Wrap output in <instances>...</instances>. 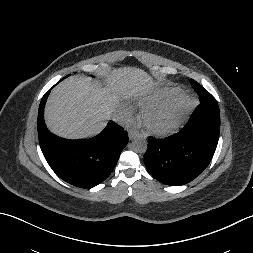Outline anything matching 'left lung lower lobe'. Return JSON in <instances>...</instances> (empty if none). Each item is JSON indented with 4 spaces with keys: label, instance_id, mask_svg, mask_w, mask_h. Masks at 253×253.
Instances as JSON below:
<instances>
[{
    "label": "left lung lower lobe",
    "instance_id": "obj_1",
    "mask_svg": "<svg viewBox=\"0 0 253 253\" xmlns=\"http://www.w3.org/2000/svg\"><path fill=\"white\" fill-rule=\"evenodd\" d=\"M193 88L203 97L198 87ZM220 131L219 106L200 99V105L179 133L148 138L144 162L149 173L163 184L184 185L194 180L209 165Z\"/></svg>",
    "mask_w": 253,
    "mask_h": 253
}]
</instances>
